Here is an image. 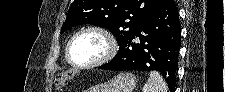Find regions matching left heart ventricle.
I'll use <instances>...</instances> for the list:
<instances>
[{
    "label": "left heart ventricle",
    "instance_id": "b2bd125f",
    "mask_svg": "<svg viewBox=\"0 0 225 92\" xmlns=\"http://www.w3.org/2000/svg\"><path fill=\"white\" fill-rule=\"evenodd\" d=\"M107 51L104 38L96 33L88 32L77 37L71 45L70 57L78 64L94 62Z\"/></svg>",
    "mask_w": 225,
    "mask_h": 92
}]
</instances>
